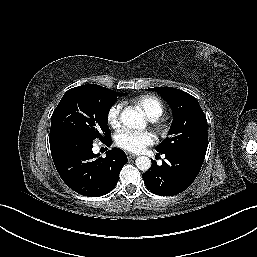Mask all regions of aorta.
I'll return each instance as SVG.
<instances>
[{"label": "aorta", "mask_w": 257, "mask_h": 257, "mask_svg": "<svg viewBox=\"0 0 257 257\" xmlns=\"http://www.w3.org/2000/svg\"><path fill=\"white\" fill-rule=\"evenodd\" d=\"M120 120L128 128L144 129L145 120L138 111L132 108H125L120 115ZM137 168L141 171H147L151 167V160L146 156H140L135 160Z\"/></svg>", "instance_id": "762f6f07"}]
</instances>
